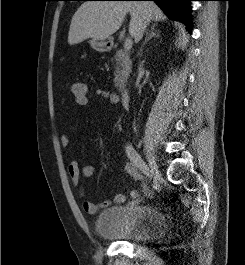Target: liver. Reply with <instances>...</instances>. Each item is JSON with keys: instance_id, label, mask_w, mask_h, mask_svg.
Segmentation results:
<instances>
[{"instance_id": "obj_1", "label": "liver", "mask_w": 245, "mask_h": 265, "mask_svg": "<svg viewBox=\"0 0 245 265\" xmlns=\"http://www.w3.org/2000/svg\"><path fill=\"white\" fill-rule=\"evenodd\" d=\"M130 13L129 34L140 41L145 18L162 21L166 18L162 10L153 2L130 1H86L72 17L68 33V43L78 44L88 38L108 39L122 25Z\"/></svg>"}]
</instances>
